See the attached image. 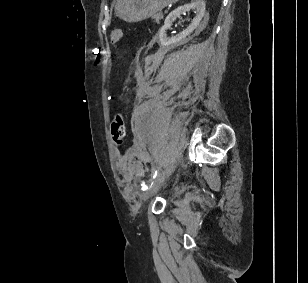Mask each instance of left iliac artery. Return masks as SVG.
<instances>
[{
	"mask_svg": "<svg viewBox=\"0 0 308 283\" xmlns=\"http://www.w3.org/2000/svg\"><path fill=\"white\" fill-rule=\"evenodd\" d=\"M158 174V167L153 168L152 170V177L155 178Z\"/></svg>",
	"mask_w": 308,
	"mask_h": 283,
	"instance_id": "1",
	"label": "left iliac artery"
}]
</instances>
